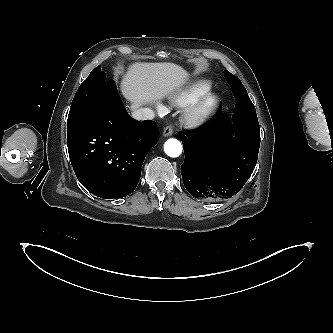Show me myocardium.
Segmentation results:
<instances>
[{"label":"myocardium","instance_id":"1","mask_svg":"<svg viewBox=\"0 0 333 333\" xmlns=\"http://www.w3.org/2000/svg\"><path fill=\"white\" fill-rule=\"evenodd\" d=\"M223 99L218 93L207 92L191 104L185 115V122L191 128L208 124L217 114Z\"/></svg>","mask_w":333,"mask_h":333}]
</instances>
